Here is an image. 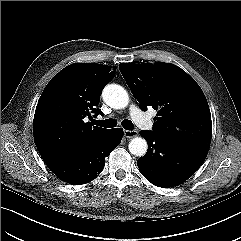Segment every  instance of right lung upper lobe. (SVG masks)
Segmentation results:
<instances>
[{
    "label": "right lung upper lobe",
    "instance_id": "obj_1",
    "mask_svg": "<svg viewBox=\"0 0 241 241\" xmlns=\"http://www.w3.org/2000/svg\"><path fill=\"white\" fill-rule=\"evenodd\" d=\"M111 67L95 63L62 69L43 90L34 115V141L45 163L71 156L102 139L111 129L85 123L101 91L113 78Z\"/></svg>",
    "mask_w": 241,
    "mask_h": 241
}]
</instances>
